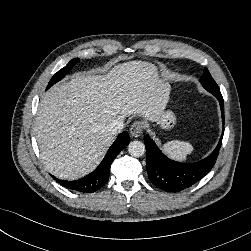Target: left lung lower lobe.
Returning <instances> with one entry per match:
<instances>
[{"label":"left lung lower lobe","instance_id":"1","mask_svg":"<svg viewBox=\"0 0 251 251\" xmlns=\"http://www.w3.org/2000/svg\"><path fill=\"white\" fill-rule=\"evenodd\" d=\"M219 101L224 124V102L221 92H210ZM224 130V129H223ZM223 135L214 151L206 158L195 163H180L166 157L155 142L146 135V169L150 181L167 192H179L200 181L214 166L219 154Z\"/></svg>","mask_w":251,"mask_h":251}]
</instances>
